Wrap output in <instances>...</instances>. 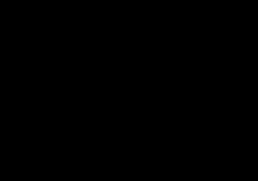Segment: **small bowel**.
Returning <instances> with one entry per match:
<instances>
[{
  "mask_svg": "<svg viewBox=\"0 0 258 181\" xmlns=\"http://www.w3.org/2000/svg\"><path fill=\"white\" fill-rule=\"evenodd\" d=\"M207 102L210 103V104H213L215 102V97L212 96V95H209L207 97Z\"/></svg>",
  "mask_w": 258,
  "mask_h": 181,
  "instance_id": "1",
  "label": "small bowel"
}]
</instances>
